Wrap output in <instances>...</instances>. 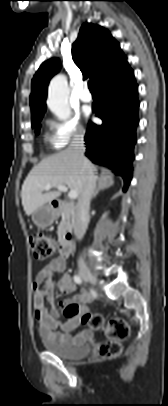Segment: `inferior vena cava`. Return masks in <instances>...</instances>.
<instances>
[{
	"label": "inferior vena cava",
	"instance_id": "1",
	"mask_svg": "<svg viewBox=\"0 0 168 406\" xmlns=\"http://www.w3.org/2000/svg\"><path fill=\"white\" fill-rule=\"evenodd\" d=\"M84 135L75 134L68 150L71 151L74 157L79 160H84L85 144ZM83 190L78 198L77 209L74 217V234L78 240H81L86 232L89 222V208L92 196L96 190L97 177L94 171L87 165L83 167ZM79 267L84 268L85 263L82 257L78 260Z\"/></svg>",
	"mask_w": 168,
	"mask_h": 406
}]
</instances>
